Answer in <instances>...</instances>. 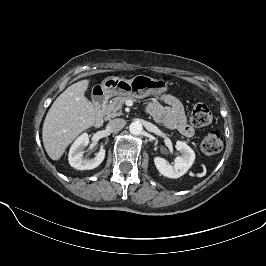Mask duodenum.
Instances as JSON below:
<instances>
[{
    "instance_id": "1",
    "label": "duodenum",
    "mask_w": 266,
    "mask_h": 266,
    "mask_svg": "<svg viewBox=\"0 0 266 266\" xmlns=\"http://www.w3.org/2000/svg\"><path fill=\"white\" fill-rule=\"evenodd\" d=\"M107 101V92L99 89L93 95V102L95 106L94 126L99 127L103 123V110Z\"/></svg>"
}]
</instances>
